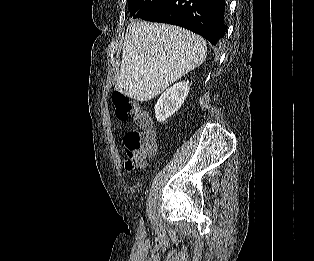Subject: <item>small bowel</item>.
<instances>
[{"label": "small bowel", "mask_w": 314, "mask_h": 261, "mask_svg": "<svg viewBox=\"0 0 314 261\" xmlns=\"http://www.w3.org/2000/svg\"><path fill=\"white\" fill-rule=\"evenodd\" d=\"M146 165V161H145V157L142 159L140 165L138 166V168H144Z\"/></svg>", "instance_id": "1"}]
</instances>
